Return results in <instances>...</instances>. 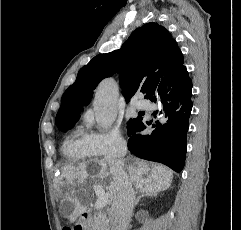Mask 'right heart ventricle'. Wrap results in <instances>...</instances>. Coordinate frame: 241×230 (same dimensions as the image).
<instances>
[{"instance_id": "e07e8e85", "label": "right heart ventricle", "mask_w": 241, "mask_h": 230, "mask_svg": "<svg viewBox=\"0 0 241 230\" xmlns=\"http://www.w3.org/2000/svg\"><path fill=\"white\" fill-rule=\"evenodd\" d=\"M86 135L76 130L68 136L63 145V153L68 160L76 162L95 156L88 145Z\"/></svg>"}]
</instances>
